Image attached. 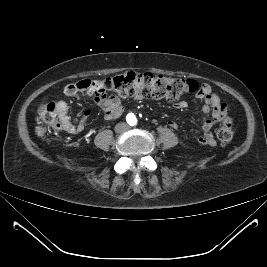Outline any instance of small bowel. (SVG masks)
Wrapping results in <instances>:
<instances>
[{
	"label": "small bowel",
	"mask_w": 267,
	"mask_h": 267,
	"mask_svg": "<svg viewBox=\"0 0 267 267\" xmlns=\"http://www.w3.org/2000/svg\"><path fill=\"white\" fill-rule=\"evenodd\" d=\"M81 82H83V80L67 84L64 88L65 95L75 96L79 92H87L86 89L80 87ZM197 97L203 102L202 110L205 114L202 120L203 135L198 138V142L201 145L215 146L216 140L211 130L216 123L225 118L228 112V107L215 93L212 92V89L208 84H202V88L197 93ZM97 103L102 109L103 116L106 120L117 119L123 113L121 101L116 96L110 97L106 100L97 101ZM55 107L60 122L59 129H62L70 134H79L85 129L89 116L88 110L85 111L83 117L78 123H74L69 117V107L65 101L60 100L56 102ZM176 107L178 109H184L187 107V102L180 101L176 103ZM208 114H211V117H207ZM169 125L175 130L179 127L176 121H171Z\"/></svg>",
	"instance_id": "small-bowel-1"
}]
</instances>
